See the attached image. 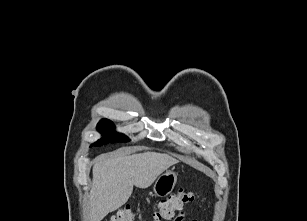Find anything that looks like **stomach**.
I'll return each mask as SVG.
<instances>
[{
    "label": "stomach",
    "mask_w": 307,
    "mask_h": 221,
    "mask_svg": "<svg viewBox=\"0 0 307 221\" xmlns=\"http://www.w3.org/2000/svg\"><path fill=\"white\" fill-rule=\"evenodd\" d=\"M177 182V173L173 170L166 171L158 176L154 185L153 192L155 195L165 197L172 192Z\"/></svg>",
    "instance_id": "1"
}]
</instances>
